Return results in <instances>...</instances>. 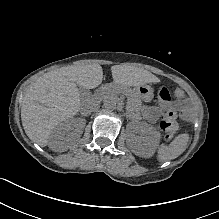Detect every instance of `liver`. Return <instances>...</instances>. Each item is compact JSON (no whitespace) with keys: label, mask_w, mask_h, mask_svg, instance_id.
Instances as JSON below:
<instances>
[{"label":"liver","mask_w":219,"mask_h":219,"mask_svg":"<svg viewBox=\"0 0 219 219\" xmlns=\"http://www.w3.org/2000/svg\"><path fill=\"white\" fill-rule=\"evenodd\" d=\"M115 84L140 86L152 82L148 71L125 65L112 67ZM103 70L99 64L65 66L38 77L26 89L21 107V120L28 137L45 146L60 122L76 115L83 104L94 109L100 104L98 97L80 95V89H95L102 85Z\"/></svg>","instance_id":"6515ba94"}]
</instances>
